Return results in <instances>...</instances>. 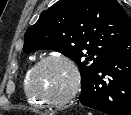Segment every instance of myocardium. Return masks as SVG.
I'll return each mask as SVG.
<instances>
[{
  "instance_id": "1",
  "label": "myocardium",
  "mask_w": 131,
  "mask_h": 115,
  "mask_svg": "<svg viewBox=\"0 0 131 115\" xmlns=\"http://www.w3.org/2000/svg\"><path fill=\"white\" fill-rule=\"evenodd\" d=\"M50 61H60L66 64L72 72V84L70 89L60 98H48L35 89L34 79L39 68ZM81 86V73L76 63L68 56L63 54H50L35 63L28 75V89L33 97H35L42 104L51 107H60L68 103L76 96Z\"/></svg>"
}]
</instances>
